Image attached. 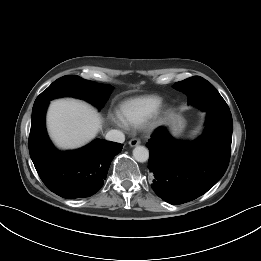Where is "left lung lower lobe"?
I'll list each match as a JSON object with an SVG mask.
<instances>
[{"label": "left lung lower lobe", "instance_id": "0a47b994", "mask_svg": "<svg viewBox=\"0 0 261 261\" xmlns=\"http://www.w3.org/2000/svg\"><path fill=\"white\" fill-rule=\"evenodd\" d=\"M192 99L207 113L205 130L194 142H180L159 127L146 146L153 173L152 188L166 202L179 205L211 189L224 175L230 159L232 116L219 106L212 84L201 85Z\"/></svg>", "mask_w": 261, "mask_h": 261}]
</instances>
